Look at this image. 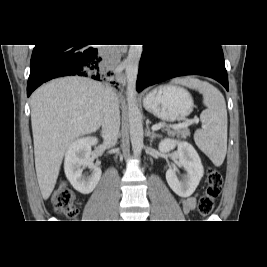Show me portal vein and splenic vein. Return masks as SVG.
Wrapping results in <instances>:
<instances>
[{"mask_svg":"<svg viewBox=\"0 0 267 267\" xmlns=\"http://www.w3.org/2000/svg\"><path fill=\"white\" fill-rule=\"evenodd\" d=\"M198 122H199V120L197 118H195V119L188 120V121L176 124V125H171L170 127L175 128V129L187 128L189 125L194 124V123L197 124ZM163 127H164V125L156 124V125L152 126V130H159V129L163 128Z\"/></svg>","mask_w":267,"mask_h":267,"instance_id":"obj_1","label":"portal vein and splenic vein"}]
</instances>
